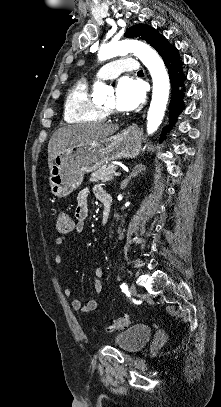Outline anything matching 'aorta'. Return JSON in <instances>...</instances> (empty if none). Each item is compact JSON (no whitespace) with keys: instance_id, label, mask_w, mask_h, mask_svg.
Masks as SVG:
<instances>
[{"instance_id":"1","label":"aorta","mask_w":221,"mask_h":407,"mask_svg":"<svg viewBox=\"0 0 221 407\" xmlns=\"http://www.w3.org/2000/svg\"><path fill=\"white\" fill-rule=\"evenodd\" d=\"M129 52H133L141 60L152 77V101L147 114V133L150 135L158 129L164 117L170 90L168 73L157 52L138 40L111 41L100 48L98 58L105 61ZM93 90V98L100 100H104L112 92L110 87L99 81L95 82Z\"/></svg>"}]
</instances>
